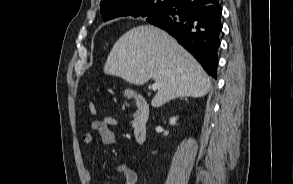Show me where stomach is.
Segmentation results:
<instances>
[{"mask_svg": "<svg viewBox=\"0 0 293 184\" xmlns=\"http://www.w3.org/2000/svg\"><path fill=\"white\" fill-rule=\"evenodd\" d=\"M125 95H126L127 97H132V96L135 95V93H134L133 91H131V90H126V91H125Z\"/></svg>", "mask_w": 293, "mask_h": 184, "instance_id": "obj_1", "label": "stomach"}]
</instances>
